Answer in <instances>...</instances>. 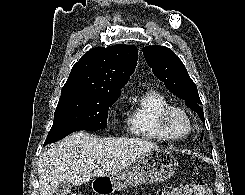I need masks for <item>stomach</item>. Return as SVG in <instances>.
<instances>
[{
	"instance_id": "stomach-1",
	"label": "stomach",
	"mask_w": 245,
	"mask_h": 195,
	"mask_svg": "<svg viewBox=\"0 0 245 195\" xmlns=\"http://www.w3.org/2000/svg\"><path fill=\"white\" fill-rule=\"evenodd\" d=\"M177 166L178 163L170 151H149L123 171L108 177L109 188L120 191L138 184L163 182L174 174Z\"/></svg>"
}]
</instances>
